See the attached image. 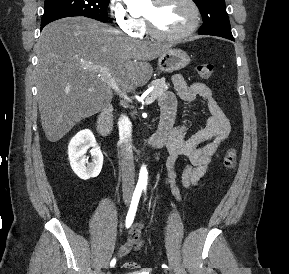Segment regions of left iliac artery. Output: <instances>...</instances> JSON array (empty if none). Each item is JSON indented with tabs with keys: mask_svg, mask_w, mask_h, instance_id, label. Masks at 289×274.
Returning a JSON list of instances; mask_svg holds the SVG:
<instances>
[{
	"mask_svg": "<svg viewBox=\"0 0 289 274\" xmlns=\"http://www.w3.org/2000/svg\"><path fill=\"white\" fill-rule=\"evenodd\" d=\"M162 268H166L167 269L168 267H167V265L162 264Z\"/></svg>",
	"mask_w": 289,
	"mask_h": 274,
	"instance_id": "left-iliac-artery-1",
	"label": "left iliac artery"
}]
</instances>
